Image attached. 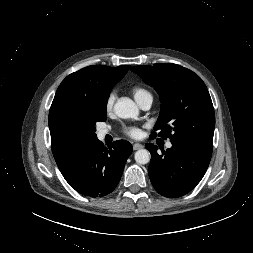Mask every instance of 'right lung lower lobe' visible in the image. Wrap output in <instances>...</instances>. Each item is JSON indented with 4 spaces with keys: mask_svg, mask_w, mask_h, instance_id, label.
<instances>
[{
    "mask_svg": "<svg viewBox=\"0 0 253 253\" xmlns=\"http://www.w3.org/2000/svg\"><path fill=\"white\" fill-rule=\"evenodd\" d=\"M132 150L125 140L103 147L95 138L57 162V166L74 190L93 198L103 197L116 188Z\"/></svg>",
    "mask_w": 253,
    "mask_h": 253,
    "instance_id": "obj_1",
    "label": "right lung lower lobe"
}]
</instances>
